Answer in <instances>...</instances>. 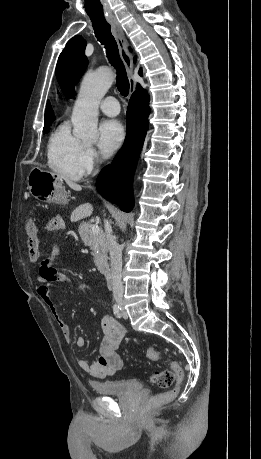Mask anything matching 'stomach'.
Wrapping results in <instances>:
<instances>
[{"label":"stomach","instance_id":"0dacf381","mask_svg":"<svg viewBox=\"0 0 261 459\" xmlns=\"http://www.w3.org/2000/svg\"><path fill=\"white\" fill-rule=\"evenodd\" d=\"M27 186L31 195L46 203H65L67 194L62 179L56 174L38 167L31 169Z\"/></svg>","mask_w":261,"mask_h":459}]
</instances>
